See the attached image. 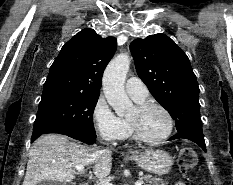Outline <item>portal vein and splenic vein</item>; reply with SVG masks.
I'll list each match as a JSON object with an SVG mask.
<instances>
[{
	"label": "portal vein and splenic vein",
	"mask_w": 233,
	"mask_h": 185,
	"mask_svg": "<svg viewBox=\"0 0 233 185\" xmlns=\"http://www.w3.org/2000/svg\"><path fill=\"white\" fill-rule=\"evenodd\" d=\"M75 169L77 171H83L84 166L83 165H77V166H75ZM142 184H143L142 180H138V181L135 182V185H142ZM97 185H113V184L109 183V182L101 181V182H97Z\"/></svg>",
	"instance_id": "1"
}]
</instances>
